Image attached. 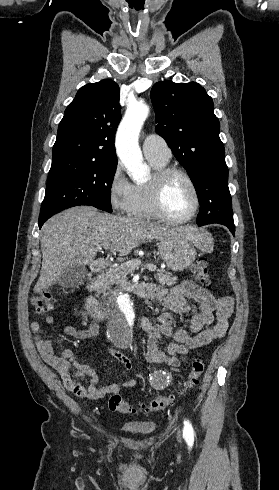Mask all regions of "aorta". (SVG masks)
<instances>
[{"instance_id":"762f6f07","label":"aorta","mask_w":279,"mask_h":490,"mask_svg":"<svg viewBox=\"0 0 279 490\" xmlns=\"http://www.w3.org/2000/svg\"><path fill=\"white\" fill-rule=\"evenodd\" d=\"M148 114L149 107L145 103L130 104L116 133L117 154L131 176L138 181L143 180L148 172L138 143L141 128ZM134 322V303L130 295L122 293L113 298L108 320L110 338L118 345H129L134 331Z\"/></svg>"}]
</instances>
